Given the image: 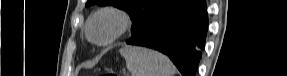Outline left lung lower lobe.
<instances>
[{
	"mask_svg": "<svg viewBox=\"0 0 287 76\" xmlns=\"http://www.w3.org/2000/svg\"><path fill=\"white\" fill-rule=\"evenodd\" d=\"M207 25L205 0H184L152 20L127 44L158 50L173 61L183 76H195Z\"/></svg>",
	"mask_w": 287,
	"mask_h": 76,
	"instance_id": "left-lung-lower-lobe-1",
	"label": "left lung lower lobe"
}]
</instances>
